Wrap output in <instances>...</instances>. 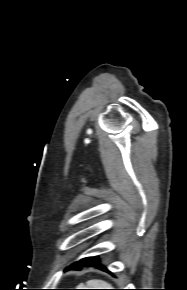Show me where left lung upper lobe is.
<instances>
[{"label":"left lung upper lobe","mask_w":187,"mask_h":290,"mask_svg":"<svg viewBox=\"0 0 187 290\" xmlns=\"http://www.w3.org/2000/svg\"><path fill=\"white\" fill-rule=\"evenodd\" d=\"M94 257H87V258H84V259H82V260H80V261H77V262H75V263H73L70 267L72 268V269H78V268H80L85 262H87V261H89V260H91V259H93Z\"/></svg>","instance_id":"left-lung-upper-lobe-1"}]
</instances>
